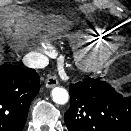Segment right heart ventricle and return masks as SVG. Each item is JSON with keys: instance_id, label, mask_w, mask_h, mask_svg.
Masks as SVG:
<instances>
[{"instance_id": "e07e8e85", "label": "right heart ventricle", "mask_w": 131, "mask_h": 131, "mask_svg": "<svg viewBox=\"0 0 131 131\" xmlns=\"http://www.w3.org/2000/svg\"><path fill=\"white\" fill-rule=\"evenodd\" d=\"M69 37L78 43H95L103 39L111 38L109 31L98 27L84 29Z\"/></svg>"}]
</instances>
